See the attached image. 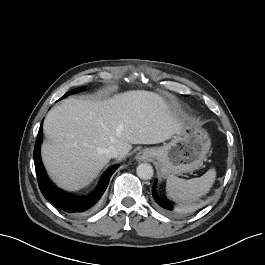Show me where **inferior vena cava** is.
Masks as SVG:
<instances>
[{"instance_id":"602c4592","label":"inferior vena cava","mask_w":265,"mask_h":265,"mask_svg":"<svg viewBox=\"0 0 265 265\" xmlns=\"http://www.w3.org/2000/svg\"><path fill=\"white\" fill-rule=\"evenodd\" d=\"M104 153L108 158H117L119 156V152L115 146H109L104 150Z\"/></svg>"}]
</instances>
